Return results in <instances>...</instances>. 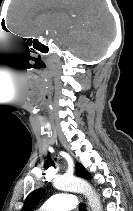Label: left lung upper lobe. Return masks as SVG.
Instances as JSON below:
<instances>
[{
  "label": "left lung upper lobe",
  "mask_w": 133,
  "mask_h": 211,
  "mask_svg": "<svg viewBox=\"0 0 133 211\" xmlns=\"http://www.w3.org/2000/svg\"><path fill=\"white\" fill-rule=\"evenodd\" d=\"M76 169H77V174L79 176L86 179H90L89 173L85 170L82 164H77ZM43 193H44L43 188H40L31 192L26 198L22 211H32L35 205L37 204V202L39 201V199L42 197Z\"/></svg>",
  "instance_id": "obj_1"
}]
</instances>
